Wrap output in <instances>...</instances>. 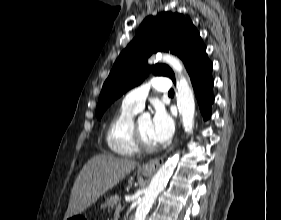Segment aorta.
Instances as JSON below:
<instances>
[{
    "label": "aorta",
    "instance_id": "obj_1",
    "mask_svg": "<svg viewBox=\"0 0 281 220\" xmlns=\"http://www.w3.org/2000/svg\"><path fill=\"white\" fill-rule=\"evenodd\" d=\"M158 60L167 63L178 75L176 84L177 106L182 117V124L185 132L191 133L194 127L195 102L192 88L182 74L184 66L177 57L170 54L157 55L156 58L150 59V61ZM178 161L179 153H175L159 168L136 209L134 220L146 219V215L148 214L158 194L167 184L170 176L177 166Z\"/></svg>",
    "mask_w": 281,
    "mask_h": 220
}]
</instances>
